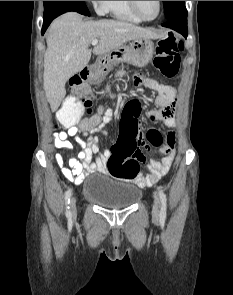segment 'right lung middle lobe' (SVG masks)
<instances>
[{
    "instance_id": "1",
    "label": "right lung middle lobe",
    "mask_w": 233,
    "mask_h": 295,
    "mask_svg": "<svg viewBox=\"0 0 233 295\" xmlns=\"http://www.w3.org/2000/svg\"><path fill=\"white\" fill-rule=\"evenodd\" d=\"M54 2H57V1H44V5L48 3H54Z\"/></svg>"
}]
</instances>
